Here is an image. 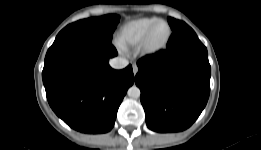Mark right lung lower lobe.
<instances>
[{"label":"right lung lower lobe","mask_w":261,"mask_h":150,"mask_svg":"<svg viewBox=\"0 0 261 150\" xmlns=\"http://www.w3.org/2000/svg\"><path fill=\"white\" fill-rule=\"evenodd\" d=\"M111 42L62 40L47 51L42 72L47 100L71 128L83 133L112 129L117 110L134 83L132 66L114 70Z\"/></svg>","instance_id":"98d812e1"}]
</instances>
